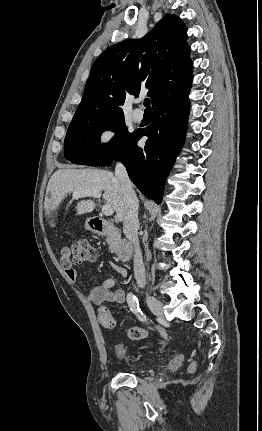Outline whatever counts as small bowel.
Returning <instances> with one entry per match:
<instances>
[{"label": "small bowel", "instance_id": "1", "mask_svg": "<svg viewBox=\"0 0 262 431\" xmlns=\"http://www.w3.org/2000/svg\"><path fill=\"white\" fill-rule=\"evenodd\" d=\"M61 264L68 279L72 282L77 281L79 273L71 262L63 259ZM112 266L121 277L126 278L128 276V271L124 266L115 262L112 263ZM114 284L115 280L113 278H107L89 289L87 298L92 304L98 306L100 312L106 310L104 304L107 302L122 305L127 301L126 292L123 289H113ZM163 336L166 337V333H163ZM178 361H183V355L178 357Z\"/></svg>", "mask_w": 262, "mask_h": 431}]
</instances>
